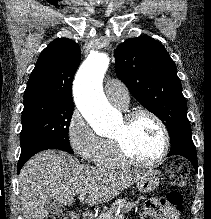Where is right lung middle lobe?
Returning <instances> with one entry per match:
<instances>
[{"instance_id": "1", "label": "right lung middle lobe", "mask_w": 211, "mask_h": 219, "mask_svg": "<svg viewBox=\"0 0 211 219\" xmlns=\"http://www.w3.org/2000/svg\"><path fill=\"white\" fill-rule=\"evenodd\" d=\"M73 109V104L45 99L24 102L21 153L41 145L58 146L73 153L68 139Z\"/></svg>"}]
</instances>
